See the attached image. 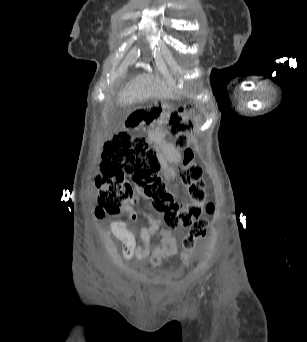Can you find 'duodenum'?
I'll return each instance as SVG.
<instances>
[{"mask_svg":"<svg viewBox=\"0 0 307 342\" xmlns=\"http://www.w3.org/2000/svg\"><path fill=\"white\" fill-rule=\"evenodd\" d=\"M125 125L128 127L130 124L127 122Z\"/></svg>","mask_w":307,"mask_h":342,"instance_id":"410a0bca","label":"duodenum"}]
</instances>
